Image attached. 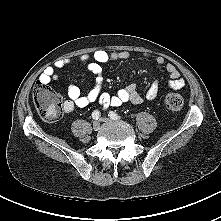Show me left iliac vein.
Instances as JSON below:
<instances>
[{
    "instance_id": "4c4485c4",
    "label": "left iliac vein",
    "mask_w": 221,
    "mask_h": 221,
    "mask_svg": "<svg viewBox=\"0 0 221 221\" xmlns=\"http://www.w3.org/2000/svg\"><path fill=\"white\" fill-rule=\"evenodd\" d=\"M101 120H102L103 122H110V121H112V119L107 118V117H103ZM114 120H116V119H114Z\"/></svg>"
}]
</instances>
